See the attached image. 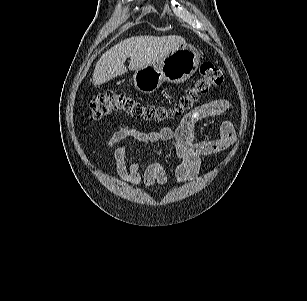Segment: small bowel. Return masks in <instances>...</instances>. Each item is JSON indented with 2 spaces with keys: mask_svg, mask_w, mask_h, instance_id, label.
Returning <instances> with one entry per match:
<instances>
[{
  "mask_svg": "<svg viewBox=\"0 0 307 301\" xmlns=\"http://www.w3.org/2000/svg\"><path fill=\"white\" fill-rule=\"evenodd\" d=\"M231 109L226 99H215L188 112L177 128L164 127L159 131H140L128 124H121L107 139L105 146L111 149L116 146L113 154L115 168L122 181L138 186L151 187L155 184L166 186L168 176L166 170L158 163L149 164L142 169L143 158L128 164L126 161L129 145L132 140L145 147H153L152 157H160L163 153L161 145H171L180 163L176 165L174 174L177 183H184L195 178L204 165V157L216 155L229 148L236 140L233 125L229 121L220 124V137L211 140H196L195 126L198 122L224 114Z\"/></svg>",
  "mask_w": 307,
  "mask_h": 301,
  "instance_id": "obj_1",
  "label": "small bowel"
}]
</instances>
